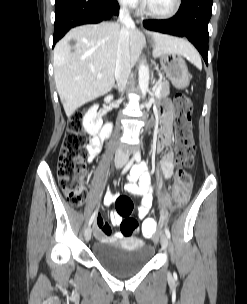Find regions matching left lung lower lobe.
I'll list each match as a JSON object with an SVG mask.
<instances>
[{
	"label": "left lung lower lobe",
	"instance_id": "left-lung-lower-lobe-1",
	"mask_svg": "<svg viewBox=\"0 0 247 304\" xmlns=\"http://www.w3.org/2000/svg\"><path fill=\"white\" fill-rule=\"evenodd\" d=\"M211 14L212 0H182L178 12L171 19L146 20L143 25L149 30L187 37L208 64V22Z\"/></svg>",
	"mask_w": 247,
	"mask_h": 304
}]
</instances>
